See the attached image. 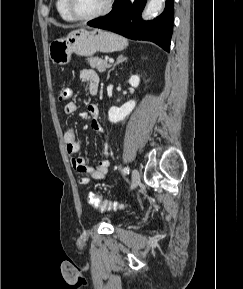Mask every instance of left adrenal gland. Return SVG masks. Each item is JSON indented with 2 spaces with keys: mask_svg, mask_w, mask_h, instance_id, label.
<instances>
[{
  "mask_svg": "<svg viewBox=\"0 0 243 289\" xmlns=\"http://www.w3.org/2000/svg\"><path fill=\"white\" fill-rule=\"evenodd\" d=\"M126 60H127V57H124L123 54L119 55L117 60H116V62H115V64L113 65L112 69L108 72V78H109L110 72L115 69L116 65H118L119 63H122V62H124Z\"/></svg>",
  "mask_w": 243,
  "mask_h": 289,
  "instance_id": "1",
  "label": "left adrenal gland"
}]
</instances>
